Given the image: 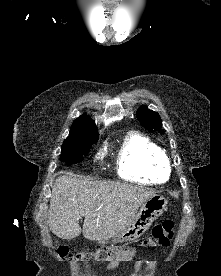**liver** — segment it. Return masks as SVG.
Returning a JSON list of instances; mask_svg holds the SVG:
<instances>
[{"instance_id":"6515ba94","label":"liver","mask_w":221,"mask_h":276,"mask_svg":"<svg viewBox=\"0 0 221 276\" xmlns=\"http://www.w3.org/2000/svg\"><path fill=\"white\" fill-rule=\"evenodd\" d=\"M155 195L125 183L61 175L52 188L50 230L62 239L76 238L82 232L91 241L108 240L125 230L139 207ZM81 217H85L83 229L79 226Z\"/></svg>"}]
</instances>
